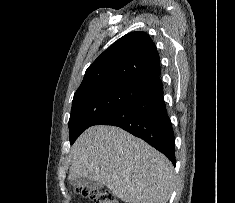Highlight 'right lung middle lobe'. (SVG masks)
Segmentation results:
<instances>
[{
  "label": "right lung middle lobe",
  "mask_w": 235,
  "mask_h": 203,
  "mask_svg": "<svg viewBox=\"0 0 235 203\" xmlns=\"http://www.w3.org/2000/svg\"><path fill=\"white\" fill-rule=\"evenodd\" d=\"M147 88L133 82L111 81L77 90L69 119L70 144L100 118L137 97Z\"/></svg>",
  "instance_id": "obj_1"
}]
</instances>
